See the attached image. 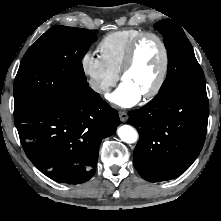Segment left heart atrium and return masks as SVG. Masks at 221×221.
I'll use <instances>...</instances> for the list:
<instances>
[{
	"mask_svg": "<svg viewBox=\"0 0 221 221\" xmlns=\"http://www.w3.org/2000/svg\"><path fill=\"white\" fill-rule=\"evenodd\" d=\"M142 95L127 83H122L116 91L108 96V98L121 107H130L135 105Z\"/></svg>",
	"mask_w": 221,
	"mask_h": 221,
	"instance_id": "left-heart-atrium-1",
	"label": "left heart atrium"
}]
</instances>
